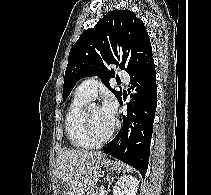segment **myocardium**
Here are the masks:
<instances>
[{"mask_svg": "<svg viewBox=\"0 0 211 195\" xmlns=\"http://www.w3.org/2000/svg\"><path fill=\"white\" fill-rule=\"evenodd\" d=\"M83 126H84V132H85L87 139L93 145H101V144L108 142L113 137L114 133L116 132V130L118 128V121L114 120L113 127L111 128V130L108 132L107 135H105L102 138H98L93 133L90 115H89V108H87L83 112Z\"/></svg>", "mask_w": 211, "mask_h": 195, "instance_id": "obj_1", "label": "myocardium"}]
</instances>
